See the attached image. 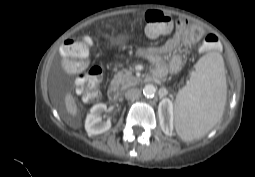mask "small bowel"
<instances>
[{
  "instance_id": "1",
  "label": "small bowel",
  "mask_w": 255,
  "mask_h": 177,
  "mask_svg": "<svg viewBox=\"0 0 255 177\" xmlns=\"http://www.w3.org/2000/svg\"><path fill=\"white\" fill-rule=\"evenodd\" d=\"M202 36L203 30L200 27L180 21L172 35L162 45L139 49L136 54L154 64L155 72L161 78L168 72L176 75L183 68V58L177 53V49L182 45H189L200 40ZM214 45L216 46V43ZM165 54H172L168 63L163 58Z\"/></svg>"
}]
</instances>
